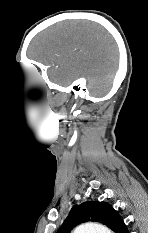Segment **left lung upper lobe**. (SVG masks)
<instances>
[{
	"label": "left lung upper lobe",
	"instance_id": "1",
	"mask_svg": "<svg viewBox=\"0 0 148 233\" xmlns=\"http://www.w3.org/2000/svg\"><path fill=\"white\" fill-rule=\"evenodd\" d=\"M99 222L114 233H126L127 227L118 212L106 202L89 201L75 205L57 233H70L72 228L83 222Z\"/></svg>",
	"mask_w": 148,
	"mask_h": 233
}]
</instances>
